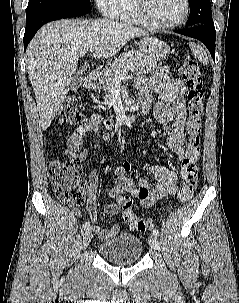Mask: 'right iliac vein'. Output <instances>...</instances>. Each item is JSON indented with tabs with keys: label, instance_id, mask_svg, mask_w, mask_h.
<instances>
[{
	"label": "right iliac vein",
	"instance_id": "1",
	"mask_svg": "<svg viewBox=\"0 0 239 303\" xmlns=\"http://www.w3.org/2000/svg\"><path fill=\"white\" fill-rule=\"evenodd\" d=\"M92 231L90 229L84 231L83 233V237H82V248L86 249L89 245V243L91 242L92 239Z\"/></svg>",
	"mask_w": 239,
	"mask_h": 303
}]
</instances>
